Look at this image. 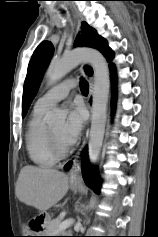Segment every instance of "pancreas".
<instances>
[{"instance_id": "cf45deb5", "label": "pancreas", "mask_w": 158, "mask_h": 237, "mask_svg": "<svg viewBox=\"0 0 158 237\" xmlns=\"http://www.w3.org/2000/svg\"><path fill=\"white\" fill-rule=\"evenodd\" d=\"M60 220L59 219H55V220H50L49 222H47V224L45 225V233L47 236H58V235H62L60 233H64V231H60L59 230V225H60Z\"/></svg>"}]
</instances>
